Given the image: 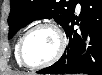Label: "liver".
Instances as JSON below:
<instances>
[{
	"label": "liver",
	"mask_w": 102,
	"mask_h": 75,
	"mask_svg": "<svg viewBox=\"0 0 102 75\" xmlns=\"http://www.w3.org/2000/svg\"><path fill=\"white\" fill-rule=\"evenodd\" d=\"M12 75H20V74H18V73H14V74H12Z\"/></svg>",
	"instance_id": "6515ba94"
}]
</instances>
